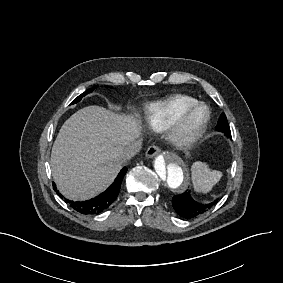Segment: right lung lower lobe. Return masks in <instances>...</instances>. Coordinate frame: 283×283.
I'll return each mask as SVG.
<instances>
[{
	"instance_id": "obj_1",
	"label": "right lung lower lobe",
	"mask_w": 283,
	"mask_h": 283,
	"mask_svg": "<svg viewBox=\"0 0 283 283\" xmlns=\"http://www.w3.org/2000/svg\"><path fill=\"white\" fill-rule=\"evenodd\" d=\"M126 172H127V168L124 167L118 174L114 183L105 192L101 193L95 198L83 202H74L64 198L65 202L69 203L73 209H75L76 211L82 214H98L104 211L105 209H107L112 204V202L117 198L123 177ZM54 189L56 191L55 184H54ZM57 194L61 198H63V196L59 192H57Z\"/></svg>"
}]
</instances>
